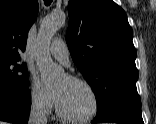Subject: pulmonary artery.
<instances>
[{
	"label": "pulmonary artery",
	"instance_id": "e3ab8cb5",
	"mask_svg": "<svg viewBox=\"0 0 156 124\" xmlns=\"http://www.w3.org/2000/svg\"><path fill=\"white\" fill-rule=\"evenodd\" d=\"M49 50L55 59L66 66L69 65V50L63 40L54 39L49 47Z\"/></svg>",
	"mask_w": 156,
	"mask_h": 124
}]
</instances>
